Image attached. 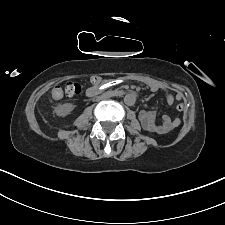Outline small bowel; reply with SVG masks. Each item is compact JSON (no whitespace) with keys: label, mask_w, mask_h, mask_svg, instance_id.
Segmentation results:
<instances>
[{"label":"small bowel","mask_w":225,"mask_h":225,"mask_svg":"<svg viewBox=\"0 0 225 225\" xmlns=\"http://www.w3.org/2000/svg\"><path fill=\"white\" fill-rule=\"evenodd\" d=\"M148 87L152 92L162 90L165 93L166 101L170 106L173 105L175 100L181 99L180 94L174 96L166 86L158 82H151L148 84ZM97 89L98 87L96 85L92 86L87 90V95H93ZM139 119L145 130L157 134H166L176 128L180 123L178 118H172L167 114L163 115L161 123H157L155 112L149 110H141L139 113Z\"/></svg>","instance_id":"small-bowel-1"}]
</instances>
